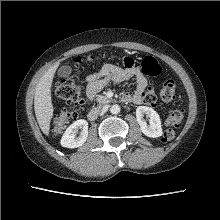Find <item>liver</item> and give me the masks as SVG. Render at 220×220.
Here are the masks:
<instances>
[{
  "label": "liver",
  "mask_w": 220,
  "mask_h": 220,
  "mask_svg": "<svg viewBox=\"0 0 220 220\" xmlns=\"http://www.w3.org/2000/svg\"><path fill=\"white\" fill-rule=\"evenodd\" d=\"M59 63H56L41 77L35 89L34 110L37 122L45 135H49L50 122L53 117L51 87Z\"/></svg>",
  "instance_id": "6515ba94"
}]
</instances>
